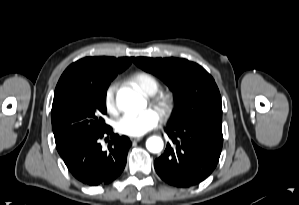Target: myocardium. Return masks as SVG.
<instances>
[{
	"mask_svg": "<svg viewBox=\"0 0 299 205\" xmlns=\"http://www.w3.org/2000/svg\"><path fill=\"white\" fill-rule=\"evenodd\" d=\"M151 105L156 109L159 115L166 119L174 109V96L170 92H161L155 94L150 99Z\"/></svg>",
	"mask_w": 299,
	"mask_h": 205,
	"instance_id": "1",
	"label": "myocardium"
}]
</instances>
